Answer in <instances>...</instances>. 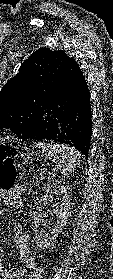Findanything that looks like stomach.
Masks as SVG:
<instances>
[{
    "label": "stomach",
    "mask_w": 113,
    "mask_h": 279,
    "mask_svg": "<svg viewBox=\"0 0 113 279\" xmlns=\"http://www.w3.org/2000/svg\"><path fill=\"white\" fill-rule=\"evenodd\" d=\"M21 157L23 158L24 162L29 164L33 161L32 153L22 154Z\"/></svg>",
    "instance_id": "stomach-1"
}]
</instances>
